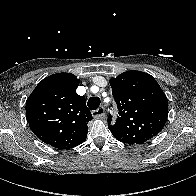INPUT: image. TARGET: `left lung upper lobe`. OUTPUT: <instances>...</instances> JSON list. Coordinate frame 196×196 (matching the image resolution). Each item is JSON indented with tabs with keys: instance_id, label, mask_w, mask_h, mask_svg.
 I'll return each instance as SVG.
<instances>
[{
	"instance_id": "left-lung-upper-lobe-1",
	"label": "left lung upper lobe",
	"mask_w": 196,
	"mask_h": 196,
	"mask_svg": "<svg viewBox=\"0 0 196 196\" xmlns=\"http://www.w3.org/2000/svg\"><path fill=\"white\" fill-rule=\"evenodd\" d=\"M119 117L109 130L127 144H142L156 136L168 116V101L157 81L141 71H127L110 80Z\"/></svg>"
}]
</instances>
